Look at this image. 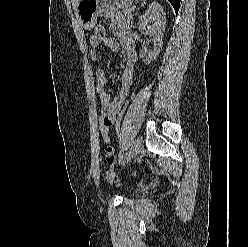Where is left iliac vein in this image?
<instances>
[{"mask_svg":"<svg viewBox=\"0 0 248 247\" xmlns=\"http://www.w3.org/2000/svg\"><path fill=\"white\" fill-rule=\"evenodd\" d=\"M140 150H141V141L139 138H137L134 140L129 153L124 160V163L128 165L131 162L132 158L135 156V154H137Z\"/></svg>","mask_w":248,"mask_h":247,"instance_id":"1","label":"left iliac vein"}]
</instances>
